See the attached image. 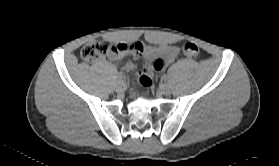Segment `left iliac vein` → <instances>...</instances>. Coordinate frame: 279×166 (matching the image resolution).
<instances>
[{
	"instance_id": "left-iliac-vein-1",
	"label": "left iliac vein",
	"mask_w": 279,
	"mask_h": 166,
	"mask_svg": "<svg viewBox=\"0 0 279 166\" xmlns=\"http://www.w3.org/2000/svg\"><path fill=\"white\" fill-rule=\"evenodd\" d=\"M159 91L161 94L163 95H169L171 94V88L169 85L167 84H161L160 87H159Z\"/></svg>"
}]
</instances>
